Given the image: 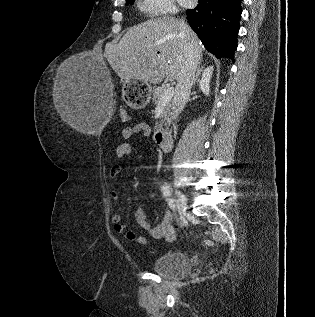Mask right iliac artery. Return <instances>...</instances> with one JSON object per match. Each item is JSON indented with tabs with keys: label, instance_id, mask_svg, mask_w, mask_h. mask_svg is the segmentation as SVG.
I'll return each mask as SVG.
<instances>
[{
	"label": "right iliac artery",
	"instance_id": "1",
	"mask_svg": "<svg viewBox=\"0 0 315 317\" xmlns=\"http://www.w3.org/2000/svg\"><path fill=\"white\" fill-rule=\"evenodd\" d=\"M163 196L165 200L167 201L169 207L173 210L176 211V205H175V200L171 197L170 191L166 186L161 187Z\"/></svg>",
	"mask_w": 315,
	"mask_h": 317
}]
</instances>
